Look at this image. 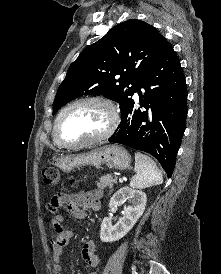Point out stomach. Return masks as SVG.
<instances>
[{
    "label": "stomach",
    "mask_w": 221,
    "mask_h": 274,
    "mask_svg": "<svg viewBox=\"0 0 221 274\" xmlns=\"http://www.w3.org/2000/svg\"><path fill=\"white\" fill-rule=\"evenodd\" d=\"M130 163L129 153L118 145H108L95 148L89 152L55 157L52 161L53 165L66 173L79 166L92 165L99 167L102 164L118 170H125L130 167Z\"/></svg>",
    "instance_id": "stomach-1"
}]
</instances>
